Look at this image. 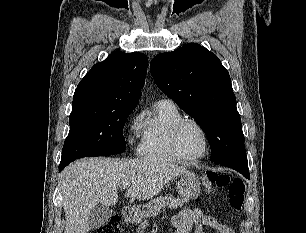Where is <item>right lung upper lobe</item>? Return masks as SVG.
I'll list each match as a JSON object with an SVG mask.
<instances>
[{
  "instance_id": "right-lung-upper-lobe-1",
  "label": "right lung upper lobe",
  "mask_w": 306,
  "mask_h": 233,
  "mask_svg": "<svg viewBox=\"0 0 306 233\" xmlns=\"http://www.w3.org/2000/svg\"><path fill=\"white\" fill-rule=\"evenodd\" d=\"M147 62V57L139 52H113L80 81L73 106L134 109L141 97Z\"/></svg>"
}]
</instances>
